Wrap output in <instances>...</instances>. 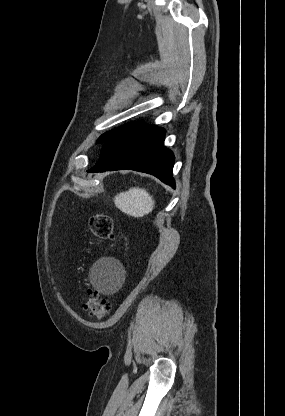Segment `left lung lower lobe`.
Listing matches in <instances>:
<instances>
[{
	"instance_id": "obj_1",
	"label": "left lung lower lobe",
	"mask_w": 285,
	"mask_h": 416,
	"mask_svg": "<svg viewBox=\"0 0 285 416\" xmlns=\"http://www.w3.org/2000/svg\"><path fill=\"white\" fill-rule=\"evenodd\" d=\"M164 138L165 130L155 126H123L104 142L98 162L88 172L132 169L152 174L174 188V155L164 147Z\"/></svg>"
}]
</instances>
